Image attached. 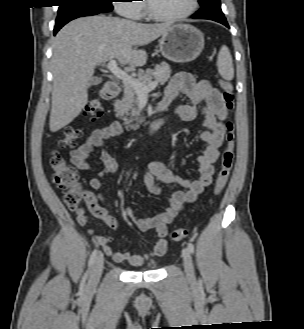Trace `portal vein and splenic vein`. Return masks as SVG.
<instances>
[{"instance_id": "1", "label": "portal vein and splenic vein", "mask_w": 304, "mask_h": 329, "mask_svg": "<svg viewBox=\"0 0 304 329\" xmlns=\"http://www.w3.org/2000/svg\"><path fill=\"white\" fill-rule=\"evenodd\" d=\"M106 68L118 79H120L124 84L131 85L135 91L138 93L139 96H146L150 91L155 89L158 85V81H153L148 85H145L135 79L134 77L130 76L127 72L122 70L118 67L116 60H110L106 63Z\"/></svg>"}]
</instances>
